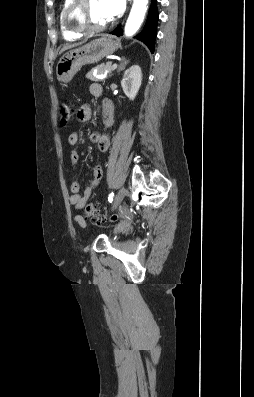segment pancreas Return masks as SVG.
I'll list each match as a JSON object with an SVG mask.
<instances>
[{
	"mask_svg": "<svg viewBox=\"0 0 254 397\" xmlns=\"http://www.w3.org/2000/svg\"><path fill=\"white\" fill-rule=\"evenodd\" d=\"M112 63L108 62L106 64H101L98 65L96 68L92 69L91 71H89L86 75V78L91 80V81H102L107 79L108 77H110L112 75ZM94 71H96V74H94ZM107 71V74L104 78H98L99 75L104 74Z\"/></svg>",
	"mask_w": 254,
	"mask_h": 397,
	"instance_id": "cf45deb5",
	"label": "pancreas"
}]
</instances>
